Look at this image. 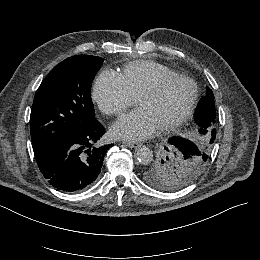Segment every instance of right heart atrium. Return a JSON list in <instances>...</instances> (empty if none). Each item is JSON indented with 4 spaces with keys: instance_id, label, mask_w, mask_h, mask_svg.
Here are the masks:
<instances>
[{
    "instance_id": "right-heart-atrium-1",
    "label": "right heart atrium",
    "mask_w": 260,
    "mask_h": 260,
    "mask_svg": "<svg viewBox=\"0 0 260 260\" xmlns=\"http://www.w3.org/2000/svg\"><path fill=\"white\" fill-rule=\"evenodd\" d=\"M92 96L106 116H116L134 103L120 77L110 71H103L97 76Z\"/></svg>"
}]
</instances>
